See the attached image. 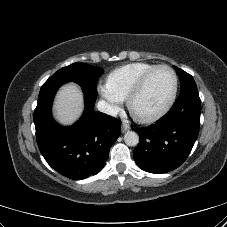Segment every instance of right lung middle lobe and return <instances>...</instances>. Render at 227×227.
<instances>
[{
  "label": "right lung middle lobe",
  "instance_id": "1",
  "mask_svg": "<svg viewBox=\"0 0 227 227\" xmlns=\"http://www.w3.org/2000/svg\"><path fill=\"white\" fill-rule=\"evenodd\" d=\"M103 72L102 68L77 62L61 68L44 84L72 81L79 84L87 92L97 95V82Z\"/></svg>",
  "mask_w": 227,
  "mask_h": 227
}]
</instances>
